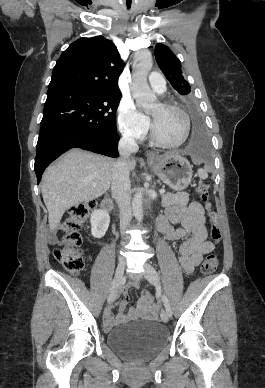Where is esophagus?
Masks as SVG:
<instances>
[{"label":"esophagus","instance_id":"obj_1","mask_svg":"<svg viewBox=\"0 0 265 388\" xmlns=\"http://www.w3.org/2000/svg\"><path fill=\"white\" fill-rule=\"evenodd\" d=\"M152 157H154V153H152V152L147 153V158H148V159H150V158H152Z\"/></svg>","mask_w":265,"mask_h":388}]
</instances>
